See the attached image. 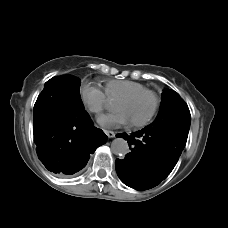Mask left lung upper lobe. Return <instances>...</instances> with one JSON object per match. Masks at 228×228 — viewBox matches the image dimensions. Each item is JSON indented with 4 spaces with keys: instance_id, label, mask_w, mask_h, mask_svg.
<instances>
[{
    "instance_id": "5c2ea615",
    "label": "left lung upper lobe",
    "mask_w": 228,
    "mask_h": 228,
    "mask_svg": "<svg viewBox=\"0 0 228 228\" xmlns=\"http://www.w3.org/2000/svg\"><path fill=\"white\" fill-rule=\"evenodd\" d=\"M190 122V111L184 100L174 90L165 89L162 93L159 114L155 121L148 126L188 134Z\"/></svg>"
}]
</instances>
